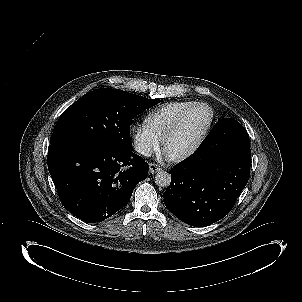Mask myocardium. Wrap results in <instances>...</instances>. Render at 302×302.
Listing matches in <instances>:
<instances>
[{"label": "myocardium", "instance_id": "obj_1", "mask_svg": "<svg viewBox=\"0 0 302 302\" xmlns=\"http://www.w3.org/2000/svg\"><path fill=\"white\" fill-rule=\"evenodd\" d=\"M197 109H201V110L205 111V113H206L205 125H204L199 137L196 139V141L188 149L179 153L180 158H184V157H187V156H190L191 154H193L205 140V138L211 128L212 121H213V112H212L211 108L208 105L203 104V103H197V104L190 105L187 109H185L177 117V119L175 120V122L173 123V125L171 126L168 133L165 135V137L163 139V143L167 147L169 145V140H170L171 136L174 134V132L176 131V129L178 128V126L180 125V123L182 122L184 117Z\"/></svg>", "mask_w": 302, "mask_h": 302}]
</instances>
